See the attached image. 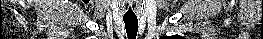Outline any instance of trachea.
<instances>
[{"mask_svg": "<svg viewBox=\"0 0 263 39\" xmlns=\"http://www.w3.org/2000/svg\"><path fill=\"white\" fill-rule=\"evenodd\" d=\"M125 23V29L128 39H136L138 31V19L137 18H123Z\"/></svg>", "mask_w": 263, "mask_h": 39, "instance_id": "trachea-1", "label": "trachea"}]
</instances>
